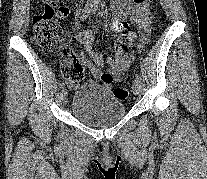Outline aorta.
<instances>
[{
    "mask_svg": "<svg viewBox=\"0 0 207 179\" xmlns=\"http://www.w3.org/2000/svg\"><path fill=\"white\" fill-rule=\"evenodd\" d=\"M87 2H88L90 5H98V4H99V0H87Z\"/></svg>",
    "mask_w": 207,
    "mask_h": 179,
    "instance_id": "762f6f07",
    "label": "aorta"
}]
</instances>
